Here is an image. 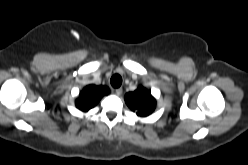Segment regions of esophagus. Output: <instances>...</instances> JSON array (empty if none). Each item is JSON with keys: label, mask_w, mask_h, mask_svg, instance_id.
I'll return each instance as SVG.
<instances>
[{"label": "esophagus", "mask_w": 248, "mask_h": 165, "mask_svg": "<svg viewBox=\"0 0 248 165\" xmlns=\"http://www.w3.org/2000/svg\"><path fill=\"white\" fill-rule=\"evenodd\" d=\"M122 92H123L122 88H118V89L115 90V94L117 96H121L122 95Z\"/></svg>", "instance_id": "1"}]
</instances>
